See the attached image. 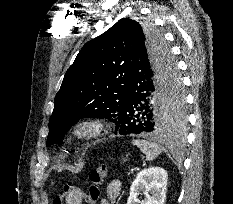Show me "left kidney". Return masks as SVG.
<instances>
[{
	"mask_svg": "<svg viewBox=\"0 0 233 204\" xmlns=\"http://www.w3.org/2000/svg\"><path fill=\"white\" fill-rule=\"evenodd\" d=\"M167 172L160 167H150L138 173L130 187L127 204H164L167 191ZM140 192L145 199L139 201Z\"/></svg>",
	"mask_w": 233,
	"mask_h": 204,
	"instance_id": "obj_1",
	"label": "left kidney"
}]
</instances>
